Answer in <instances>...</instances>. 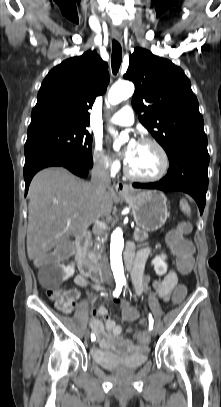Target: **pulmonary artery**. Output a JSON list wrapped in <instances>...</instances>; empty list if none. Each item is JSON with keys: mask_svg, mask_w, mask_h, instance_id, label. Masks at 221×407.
<instances>
[{"mask_svg": "<svg viewBox=\"0 0 221 407\" xmlns=\"http://www.w3.org/2000/svg\"><path fill=\"white\" fill-rule=\"evenodd\" d=\"M110 122L119 126L132 125L134 122V113L132 108L129 106H124L110 118Z\"/></svg>", "mask_w": 221, "mask_h": 407, "instance_id": "1", "label": "pulmonary artery"}]
</instances>
